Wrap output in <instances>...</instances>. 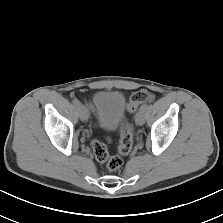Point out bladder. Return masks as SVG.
Instances as JSON below:
<instances>
[{
  "label": "bladder",
  "mask_w": 223,
  "mask_h": 223,
  "mask_svg": "<svg viewBox=\"0 0 223 223\" xmlns=\"http://www.w3.org/2000/svg\"><path fill=\"white\" fill-rule=\"evenodd\" d=\"M94 104L98 122L104 130H114L123 121L126 110V97L121 91L101 90L95 93Z\"/></svg>",
  "instance_id": "1"
}]
</instances>
